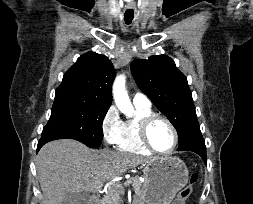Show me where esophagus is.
<instances>
[{"instance_id": "esophagus-1", "label": "esophagus", "mask_w": 253, "mask_h": 204, "mask_svg": "<svg viewBox=\"0 0 253 204\" xmlns=\"http://www.w3.org/2000/svg\"><path fill=\"white\" fill-rule=\"evenodd\" d=\"M133 7H134L133 4H131V3H128V4H127V8L131 9V8H133Z\"/></svg>"}]
</instances>
